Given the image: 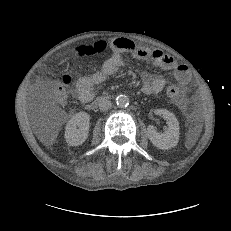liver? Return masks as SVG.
Instances as JSON below:
<instances>
[{"mask_svg": "<svg viewBox=\"0 0 231 231\" xmlns=\"http://www.w3.org/2000/svg\"><path fill=\"white\" fill-rule=\"evenodd\" d=\"M56 136H57V132H55L54 134H52V136H51V138H50L49 141L46 142V140H44L43 138H41V140L44 141L45 144H51L52 141L56 138Z\"/></svg>", "mask_w": 231, "mask_h": 231, "instance_id": "obj_1", "label": "liver"}]
</instances>
